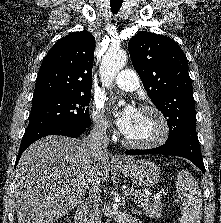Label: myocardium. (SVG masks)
I'll use <instances>...</instances> for the list:
<instances>
[{
    "instance_id": "f54148a6",
    "label": "myocardium",
    "mask_w": 221,
    "mask_h": 223,
    "mask_svg": "<svg viewBox=\"0 0 221 223\" xmlns=\"http://www.w3.org/2000/svg\"><path fill=\"white\" fill-rule=\"evenodd\" d=\"M139 111L152 113L158 118L161 126L160 133L154 139L146 142L132 141L123 134V143L128 147L141 150L154 149L163 145L170 134V124L166 115L159 108L152 105H143L139 108Z\"/></svg>"
}]
</instances>
